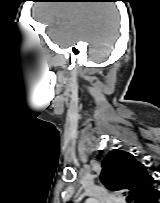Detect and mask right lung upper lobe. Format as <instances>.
<instances>
[{
    "instance_id": "cb5924a9",
    "label": "right lung upper lobe",
    "mask_w": 160,
    "mask_h": 203,
    "mask_svg": "<svg viewBox=\"0 0 160 203\" xmlns=\"http://www.w3.org/2000/svg\"><path fill=\"white\" fill-rule=\"evenodd\" d=\"M110 190H126L134 203H144L156 191V180L131 153L114 149L104 158L100 177Z\"/></svg>"
}]
</instances>
